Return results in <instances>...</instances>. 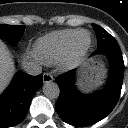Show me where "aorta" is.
I'll return each instance as SVG.
<instances>
[{"instance_id": "aorta-1", "label": "aorta", "mask_w": 128, "mask_h": 128, "mask_svg": "<svg viewBox=\"0 0 128 128\" xmlns=\"http://www.w3.org/2000/svg\"><path fill=\"white\" fill-rule=\"evenodd\" d=\"M43 92L49 99H57L60 95V89L57 83L48 81L43 86Z\"/></svg>"}]
</instances>
